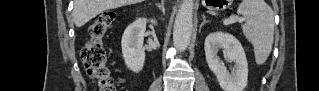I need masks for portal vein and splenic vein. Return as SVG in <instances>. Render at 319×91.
<instances>
[{
  "instance_id": "1",
  "label": "portal vein and splenic vein",
  "mask_w": 319,
  "mask_h": 91,
  "mask_svg": "<svg viewBox=\"0 0 319 91\" xmlns=\"http://www.w3.org/2000/svg\"><path fill=\"white\" fill-rule=\"evenodd\" d=\"M234 20H239V22H242V21H243V19H241V18L232 17V18H230L229 20H226V21L224 22V24H229V23L233 22Z\"/></svg>"
}]
</instances>
